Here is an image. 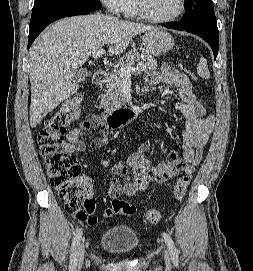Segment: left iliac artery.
<instances>
[{
    "label": "left iliac artery",
    "instance_id": "obj_1",
    "mask_svg": "<svg viewBox=\"0 0 253 271\" xmlns=\"http://www.w3.org/2000/svg\"><path fill=\"white\" fill-rule=\"evenodd\" d=\"M163 238L167 244V247L169 249L173 263L175 265H177L178 264V251L174 245L172 238L167 233H163Z\"/></svg>",
    "mask_w": 253,
    "mask_h": 271
}]
</instances>
